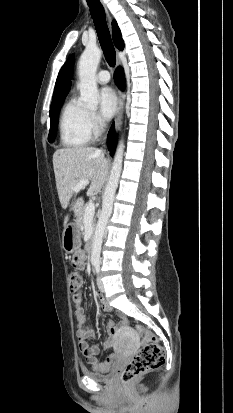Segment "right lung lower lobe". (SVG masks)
<instances>
[{
	"label": "right lung lower lobe",
	"instance_id": "right-lung-lower-lobe-1",
	"mask_svg": "<svg viewBox=\"0 0 233 413\" xmlns=\"http://www.w3.org/2000/svg\"><path fill=\"white\" fill-rule=\"evenodd\" d=\"M114 78H115L116 84L120 88L123 89L124 88V74H123V69L121 67L117 68V70L115 71ZM107 145L112 155L116 147V134H115L114 124L109 131Z\"/></svg>",
	"mask_w": 233,
	"mask_h": 413
}]
</instances>
